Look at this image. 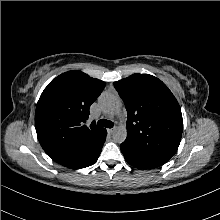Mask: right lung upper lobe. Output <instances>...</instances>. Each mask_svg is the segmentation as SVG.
Segmentation results:
<instances>
[{
    "label": "right lung upper lobe",
    "instance_id": "cb5924a9",
    "mask_svg": "<svg viewBox=\"0 0 220 220\" xmlns=\"http://www.w3.org/2000/svg\"><path fill=\"white\" fill-rule=\"evenodd\" d=\"M105 87V82L73 70L53 79L36 106L35 128L44 151L57 163L85 167L106 129L94 122L86 126L89 108Z\"/></svg>",
    "mask_w": 220,
    "mask_h": 220
}]
</instances>
